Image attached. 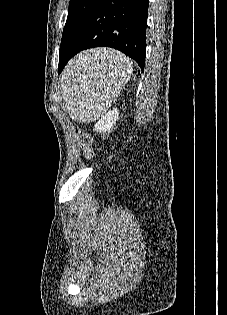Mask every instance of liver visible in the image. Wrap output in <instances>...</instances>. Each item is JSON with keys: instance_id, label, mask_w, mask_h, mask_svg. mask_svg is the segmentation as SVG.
I'll list each match as a JSON object with an SVG mask.
<instances>
[{"instance_id": "obj_1", "label": "liver", "mask_w": 227, "mask_h": 315, "mask_svg": "<svg viewBox=\"0 0 227 315\" xmlns=\"http://www.w3.org/2000/svg\"><path fill=\"white\" fill-rule=\"evenodd\" d=\"M103 49H106V48H103ZM95 51H99V50H101V49H94Z\"/></svg>"}]
</instances>
